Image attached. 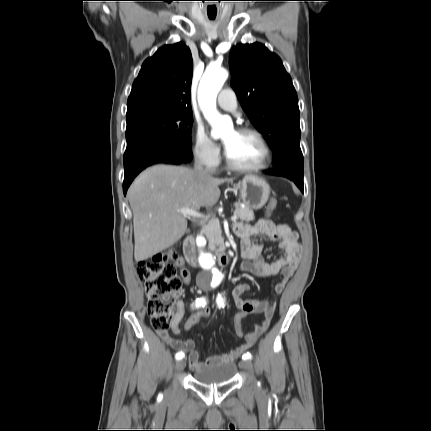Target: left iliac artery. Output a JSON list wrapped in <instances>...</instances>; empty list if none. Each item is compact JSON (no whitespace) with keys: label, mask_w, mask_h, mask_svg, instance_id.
I'll list each match as a JSON object with an SVG mask.
<instances>
[{"label":"left iliac artery","mask_w":431,"mask_h":431,"mask_svg":"<svg viewBox=\"0 0 431 431\" xmlns=\"http://www.w3.org/2000/svg\"><path fill=\"white\" fill-rule=\"evenodd\" d=\"M216 301H217V304H218L219 307H224V302L225 301H224V299L222 298L221 295H218ZM251 358H252V355L250 353H246L242 357L243 360H245V359H251Z\"/></svg>","instance_id":"left-iliac-artery-1"}]
</instances>
